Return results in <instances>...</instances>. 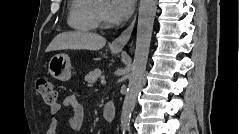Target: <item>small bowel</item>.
Segmentation results:
<instances>
[{
  "mask_svg": "<svg viewBox=\"0 0 239 134\" xmlns=\"http://www.w3.org/2000/svg\"><path fill=\"white\" fill-rule=\"evenodd\" d=\"M65 106L70 109V126L73 130H80L84 123L85 112L81 103L76 99L75 96L71 95L64 99L63 104L55 103L50 106V113L56 116ZM58 127V120L53 117L50 121L47 129V134H56Z\"/></svg>",
  "mask_w": 239,
  "mask_h": 134,
  "instance_id": "obj_1",
  "label": "small bowel"
}]
</instances>
